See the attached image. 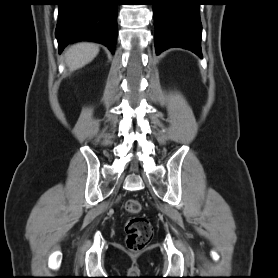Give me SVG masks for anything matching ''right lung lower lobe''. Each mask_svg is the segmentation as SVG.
<instances>
[{"label":"right lung lower lobe","instance_id":"right-lung-lower-lobe-1","mask_svg":"<svg viewBox=\"0 0 278 278\" xmlns=\"http://www.w3.org/2000/svg\"><path fill=\"white\" fill-rule=\"evenodd\" d=\"M56 38L59 52L72 42L94 41L114 53L117 0H58Z\"/></svg>","mask_w":278,"mask_h":278}]
</instances>
